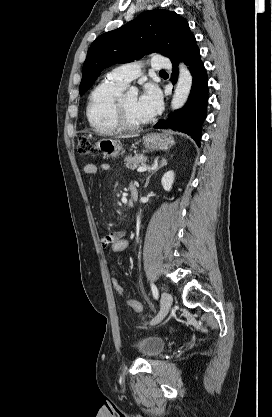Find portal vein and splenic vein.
<instances>
[{"mask_svg":"<svg viewBox=\"0 0 272 417\" xmlns=\"http://www.w3.org/2000/svg\"><path fill=\"white\" fill-rule=\"evenodd\" d=\"M149 166H141L137 169L138 172H145L149 169Z\"/></svg>","mask_w":272,"mask_h":417,"instance_id":"portal-vein-and-splenic-vein-1","label":"portal vein and splenic vein"}]
</instances>
